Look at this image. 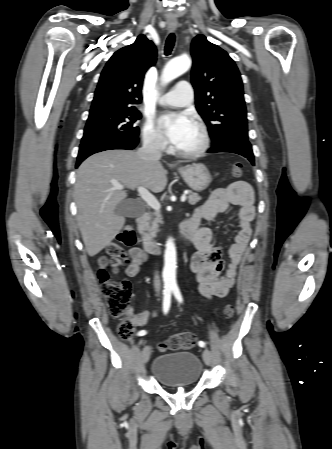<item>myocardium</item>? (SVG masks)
Returning <instances> with one entry per match:
<instances>
[{"instance_id": "myocardium-1", "label": "myocardium", "mask_w": 332, "mask_h": 449, "mask_svg": "<svg viewBox=\"0 0 332 449\" xmlns=\"http://www.w3.org/2000/svg\"><path fill=\"white\" fill-rule=\"evenodd\" d=\"M196 128L199 131L200 134V142L198 146H196L194 149L191 150H182L177 148L176 152L186 158H196L202 156L210 147V135L206 128V126L200 122L197 121L195 123Z\"/></svg>"}]
</instances>
